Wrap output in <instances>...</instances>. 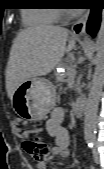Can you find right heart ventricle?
<instances>
[{"mask_svg":"<svg viewBox=\"0 0 104 169\" xmlns=\"http://www.w3.org/2000/svg\"><path fill=\"white\" fill-rule=\"evenodd\" d=\"M23 18L30 25H51L60 19V11L55 8L29 9L23 13Z\"/></svg>","mask_w":104,"mask_h":169,"instance_id":"right-heart-ventricle-1","label":"right heart ventricle"}]
</instances>
